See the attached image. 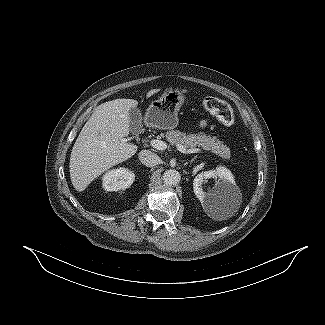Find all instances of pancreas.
Wrapping results in <instances>:
<instances>
[{
    "label": "pancreas",
    "instance_id": "1",
    "mask_svg": "<svg viewBox=\"0 0 325 325\" xmlns=\"http://www.w3.org/2000/svg\"><path fill=\"white\" fill-rule=\"evenodd\" d=\"M167 141L172 145H183L185 148L202 147L228 160L230 158V149L216 137H211L203 132L198 134H189L179 130H169L165 134Z\"/></svg>",
    "mask_w": 325,
    "mask_h": 325
}]
</instances>
